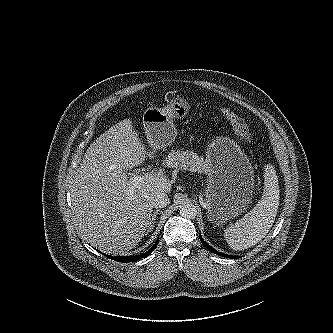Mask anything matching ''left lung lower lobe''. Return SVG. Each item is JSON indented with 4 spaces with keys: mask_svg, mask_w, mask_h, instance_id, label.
Wrapping results in <instances>:
<instances>
[{
    "mask_svg": "<svg viewBox=\"0 0 333 333\" xmlns=\"http://www.w3.org/2000/svg\"><path fill=\"white\" fill-rule=\"evenodd\" d=\"M199 236H200V240H201L202 244H203V245H204L209 251H211V252H213V253H215V254H217V255H219V256H222V257L231 258V259H235V258H237L236 256H231V255H227V254H224V253L218 252L217 250H215L214 248H212L208 243H206V242L204 241V239L202 238L201 235H199Z\"/></svg>",
    "mask_w": 333,
    "mask_h": 333,
    "instance_id": "obj_1",
    "label": "left lung lower lobe"
}]
</instances>
